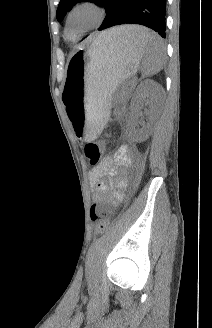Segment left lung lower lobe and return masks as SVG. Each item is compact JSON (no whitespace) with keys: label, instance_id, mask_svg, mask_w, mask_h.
Returning a JSON list of instances; mask_svg holds the SVG:
<instances>
[{"label":"left lung lower lobe","instance_id":"0a47b994","mask_svg":"<svg viewBox=\"0 0 212 328\" xmlns=\"http://www.w3.org/2000/svg\"><path fill=\"white\" fill-rule=\"evenodd\" d=\"M106 17L99 30L121 25L140 24L166 38V0H106Z\"/></svg>","mask_w":212,"mask_h":328}]
</instances>
